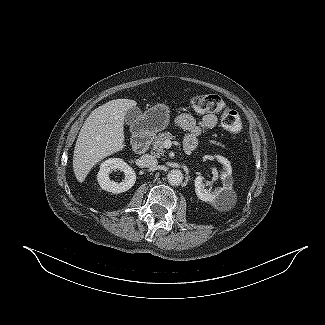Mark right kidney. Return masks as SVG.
<instances>
[{"label": "right kidney", "mask_w": 325, "mask_h": 325, "mask_svg": "<svg viewBox=\"0 0 325 325\" xmlns=\"http://www.w3.org/2000/svg\"><path fill=\"white\" fill-rule=\"evenodd\" d=\"M114 170H121L124 172L125 178L122 182L117 183L110 180L109 174ZM97 180L103 190L118 194L127 191L135 184L136 174L132 167L127 165L123 159L109 158L101 163L100 170L97 174Z\"/></svg>", "instance_id": "obj_1"}]
</instances>
